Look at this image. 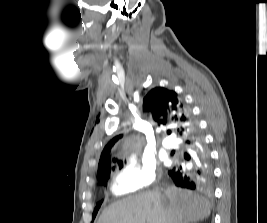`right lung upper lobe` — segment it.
Returning <instances> with one entry per match:
<instances>
[{
    "mask_svg": "<svg viewBox=\"0 0 267 223\" xmlns=\"http://www.w3.org/2000/svg\"><path fill=\"white\" fill-rule=\"evenodd\" d=\"M143 108L151 113L158 125L171 126L183 140L190 136L197 124L177 93L163 87H156L149 91L144 98ZM121 137L122 135L115 137L104 148L98 165L99 179L111 168L112 162H117L116 159L109 160L108 155L111 147Z\"/></svg>",
    "mask_w": 267,
    "mask_h": 223,
    "instance_id": "cb5924a9",
    "label": "right lung upper lobe"
}]
</instances>
